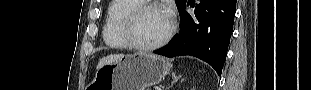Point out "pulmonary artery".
I'll return each instance as SVG.
<instances>
[{
  "mask_svg": "<svg viewBox=\"0 0 311 90\" xmlns=\"http://www.w3.org/2000/svg\"><path fill=\"white\" fill-rule=\"evenodd\" d=\"M142 2H146L145 0H141Z\"/></svg>",
  "mask_w": 311,
  "mask_h": 90,
  "instance_id": "obj_1",
  "label": "pulmonary artery"
}]
</instances>
